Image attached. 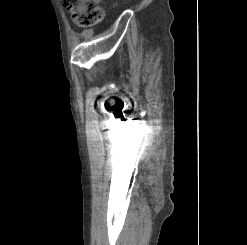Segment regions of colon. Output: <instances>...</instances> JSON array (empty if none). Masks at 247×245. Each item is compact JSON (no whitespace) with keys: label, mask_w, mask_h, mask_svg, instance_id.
<instances>
[{"label":"colon","mask_w":247,"mask_h":245,"mask_svg":"<svg viewBox=\"0 0 247 245\" xmlns=\"http://www.w3.org/2000/svg\"><path fill=\"white\" fill-rule=\"evenodd\" d=\"M100 0H63L72 18L79 26H92L102 21L104 10Z\"/></svg>","instance_id":"1"}]
</instances>
